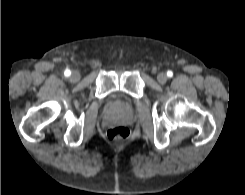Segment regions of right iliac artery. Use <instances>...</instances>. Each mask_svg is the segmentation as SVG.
I'll return each mask as SVG.
<instances>
[{
	"label": "right iliac artery",
	"instance_id": "right-iliac-artery-1",
	"mask_svg": "<svg viewBox=\"0 0 245 195\" xmlns=\"http://www.w3.org/2000/svg\"><path fill=\"white\" fill-rule=\"evenodd\" d=\"M64 75L69 77L71 75V71L69 69L65 70Z\"/></svg>",
	"mask_w": 245,
	"mask_h": 195
}]
</instances>
